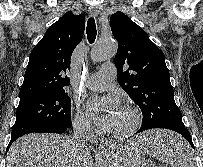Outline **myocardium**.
<instances>
[{"instance_id": "1", "label": "myocardium", "mask_w": 203, "mask_h": 167, "mask_svg": "<svg viewBox=\"0 0 203 167\" xmlns=\"http://www.w3.org/2000/svg\"><path fill=\"white\" fill-rule=\"evenodd\" d=\"M125 110L130 114L132 122L131 125L125 130L122 131L110 130L109 133L116 138L123 139L132 136L138 130L141 124L142 116L135 107L128 105L126 106Z\"/></svg>"}]
</instances>
